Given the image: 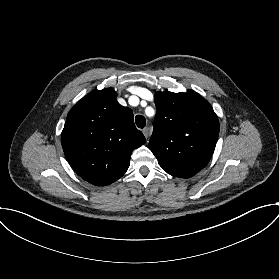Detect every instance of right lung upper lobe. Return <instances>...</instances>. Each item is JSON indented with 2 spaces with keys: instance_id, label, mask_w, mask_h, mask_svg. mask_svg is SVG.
Listing matches in <instances>:
<instances>
[{
  "instance_id": "cb5924a9",
  "label": "right lung upper lobe",
  "mask_w": 279,
  "mask_h": 279,
  "mask_svg": "<svg viewBox=\"0 0 279 279\" xmlns=\"http://www.w3.org/2000/svg\"><path fill=\"white\" fill-rule=\"evenodd\" d=\"M112 88L95 90L72 107L61 135L65 156L87 182L108 185L123 176L135 148L146 142Z\"/></svg>"
}]
</instances>
